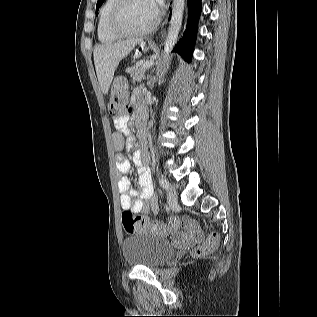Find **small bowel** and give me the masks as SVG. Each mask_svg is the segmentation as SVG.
I'll list each match as a JSON object with an SVG mask.
<instances>
[{"label": "small bowel", "instance_id": "c3829d8e", "mask_svg": "<svg viewBox=\"0 0 317 317\" xmlns=\"http://www.w3.org/2000/svg\"><path fill=\"white\" fill-rule=\"evenodd\" d=\"M132 104L137 110V123L143 125L142 116L139 112L140 97L139 92H136L132 97ZM115 132L112 135V144L117 151L116 167L121 178L118 181V189L120 192V203L124 210H132L139 214L156 213L158 210L157 200L152 183L150 170L148 169L147 154H146V140L144 136H140L142 149L136 150L132 154V161L137 168L139 175L138 190L131 187L128 173L130 171V162L125 158L122 151L132 150L135 146V137L130 132L129 118L123 116L114 120ZM201 232L196 224L184 227L179 237L175 240L195 241L199 239Z\"/></svg>", "mask_w": 317, "mask_h": 317}]
</instances>
